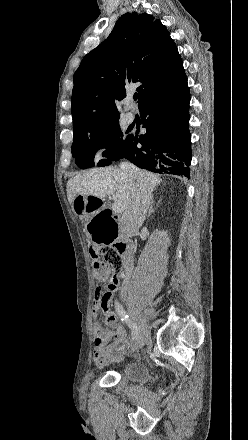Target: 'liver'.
Returning <instances> with one entry per match:
<instances>
[{"mask_svg":"<svg viewBox=\"0 0 248 440\" xmlns=\"http://www.w3.org/2000/svg\"><path fill=\"white\" fill-rule=\"evenodd\" d=\"M141 172L150 191H153L160 184V178L148 171ZM135 187V182L120 168H94L68 181L67 197L69 203L73 204L77 195L94 196L99 199L113 196L114 201L121 203L125 210L133 198Z\"/></svg>","mask_w":248,"mask_h":440,"instance_id":"6515ba94","label":"liver"}]
</instances>
